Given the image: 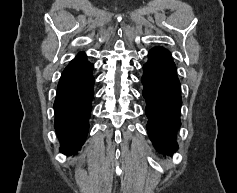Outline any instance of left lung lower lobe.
Returning <instances> with one entry per match:
<instances>
[{
    "label": "left lung lower lobe",
    "mask_w": 237,
    "mask_h": 193,
    "mask_svg": "<svg viewBox=\"0 0 237 193\" xmlns=\"http://www.w3.org/2000/svg\"><path fill=\"white\" fill-rule=\"evenodd\" d=\"M143 71L148 135L157 150L169 155L178 146L176 132L181 124L182 104L180 82L170 52L163 47L152 48Z\"/></svg>",
    "instance_id": "left-lung-lower-lobe-1"
}]
</instances>
